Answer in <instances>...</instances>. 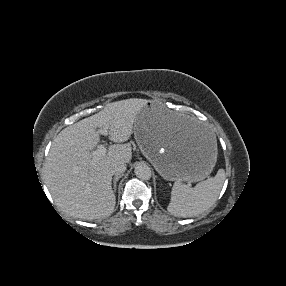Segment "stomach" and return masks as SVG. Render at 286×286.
<instances>
[{
    "mask_svg": "<svg viewBox=\"0 0 286 286\" xmlns=\"http://www.w3.org/2000/svg\"><path fill=\"white\" fill-rule=\"evenodd\" d=\"M134 136L143 155L166 180L201 181L216 164L214 128L164 103L148 101L136 116Z\"/></svg>",
    "mask_w": 286,
    "mask_h": 286,
    "instance_id": "stomach-1",
    "label": "stomach"
}]
</instances>
